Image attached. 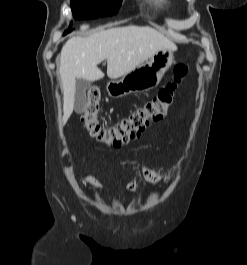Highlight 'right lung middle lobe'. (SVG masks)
Instances as JSON below:
<instances>
[{
	"label": "right lung middle lobe",
	"instance_id": "1",
	"mask_svg": "<svg viewBox=\"0 0 247 265\" xmlns=\"http://www.w3.org/2000/svg\"><path fill=\"white\" fill-rule=\"evenodd\" d=\"M122 0H71L75 19L111 16L118 12Z\"/></svg>",
	"mask_w": 247,
	"mask_h": 265
}]
</instances>
